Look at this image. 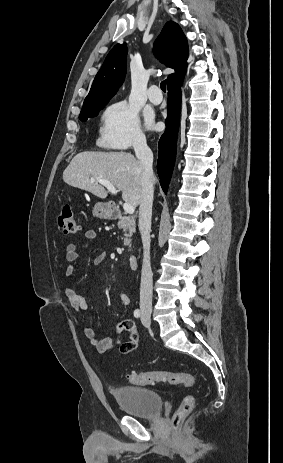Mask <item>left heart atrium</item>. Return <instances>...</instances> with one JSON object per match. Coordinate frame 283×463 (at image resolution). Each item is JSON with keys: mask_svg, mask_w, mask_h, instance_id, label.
<instances>
[{"mask_svg": "<svg viewBox=\"0 0 283 463\" xmlns=\"http://www.w3.org/2000/svg\"><path fill=\"white\" fill-rule=\"evenodd\" d=\"M147 123H148V126H150V127L153 126V122H152V119H151V118L148 119Z\"/></svg>", "mask_w": 283, "mask_h": 463, "instance_id": "obj_1", "label": "left heart atrium"}]
</instances>
